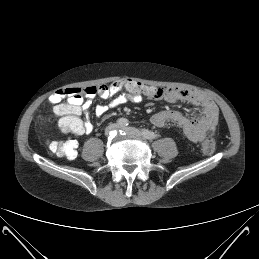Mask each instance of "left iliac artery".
I'll use <instances>...</instances> for the list:
<instances>
[{"label": "left iliac artery", "instance_id": "1", "mask_svg": "<svg viewBox=\"0 0 259 259\" xmlns=\"http://www.w3.org/2000/svg\"><path fill=\"white\" fill-rule=\"evenodd\" d=\"M142 132H147V133H149V134L151 135L152 139H155V138L159 137V134L154 133V132H152V131H150V130H148V129H142Z\"/></svg>", "mask_w": 259, "mask_h": 259}]
</instances>
